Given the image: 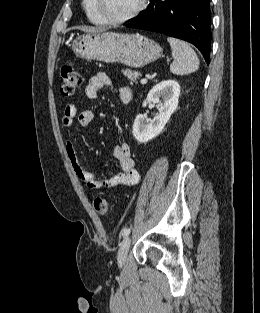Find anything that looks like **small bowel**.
Returning <instances> with one entry per match:
<instances>
[{"instance_id":"1","label":"small bowel","mask_w":260,"mask_h":313,"mask_svg":"<svg viewBox=\"0 0 260 313\" xmlns=\"http://www.w3.org/2000/svg\"><path fill=\"white\" fill-rule=\"evenodd\" d=\"M111 78L106 73H98L92 76L85 88V94L89 99H97L103 87L111 86ZM120 100L127 104L132 101V90L123 86L119 89ZM76 116V106L69 104L66 106L62 118L65 127H71ZM94 119V112L91 109L84 110L78 117L79 123L83 127L89 126ZM65 152L75 176L81 180L91 190H102L116 186H131L138 183L140 174L135 167V162L131 155L130 146L127 143H118L113 148V156L120 164L118 173L111 176H99L86 171L79 162L76 147L71 140L65 143Z\"/></svg>"}]
</instances>
